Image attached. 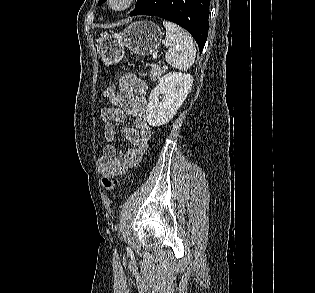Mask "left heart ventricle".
Segmentation results:
<instances>
[{"mask_svg": "<svg viewBox=\"0 0 315 293\" xmlns=\"http://www.w3.org/2000/svg\"><path fill=\"white\" fill-rule=\"evenodd\" d=\"M118 5H120V2L115 3V6H118Z\"/></svg>", "mask_w": 315, "mask_h": 293, "instance_id": "left-heart-ventricle-1", "label": "left heart ventricle"}]
</instances>
